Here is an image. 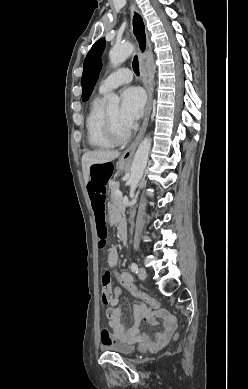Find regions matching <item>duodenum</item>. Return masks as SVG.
Masks as SVG:
<instances>
[{
    "label": "duodenum",
    "mask_w": 248,
    "mask_h": 389,
    "mask_svg": "<svg viewBox=\"0 0 248 389\" xmlns=\"http://www.w3.org/2000/svg\"><path fill=\"white\" fill-rule=\"evenodd\" d=\"M119 235L121 237V240L125 241V239H126V230H125V225L123 223L119 224Z\"/></svg>",
    "instance_id": "1"
}]
</instances>
